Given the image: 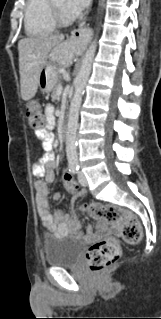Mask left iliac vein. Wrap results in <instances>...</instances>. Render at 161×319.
<instances>
[{"label":"left iliac vein","instance_id":"4c4485c4","mask_svg":"<svg viewBox=\"0 0 161 319\" xmlns=\"http://www.w3.org/2000/svg\"><path fill=\"white\" fill-rule=\"evenodd\" d=\"M78 180H79V183L82 186H87L88 185L87 179H86L85 175L82 172H80L78 174Z\"/></svg>","mask_w":161,"mask_h":319}]
</instances>
